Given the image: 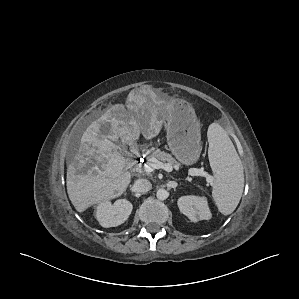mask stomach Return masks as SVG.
Masks as SVG:
<instances>
[{"label":"stomach","mask_w":299,"mask_h":299,"mask_svg":"<svg viewBox=\"0 0 299 299\" xmlns=\"http://www.w3.org/2000/svg\"><path fill=\"white\" fill-rule=\"evenodd\" d=\"M157 110L167 121L170 150L184 165L197 162L201 153V128L192 105L181 98H161Z\"/></svg>","instance_id":"stomach-1"}]
</instances>
